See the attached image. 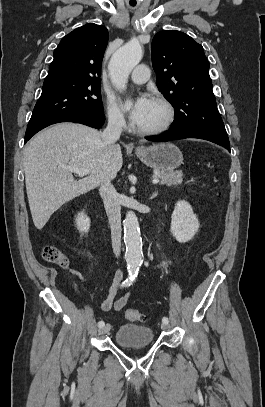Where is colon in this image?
Returning a JSON list of instances; mask_svg holds the SVG:
<instances>
[{
	"instance_id": "obj_1",
	"label": "colon",
	"mask_w": 265,
	"mask_h": 407,
	"mask_svg": "<svg viewBox=\"0 0 265 407\" xmlns=\"http://www.w3.org/2000/svg\"><path fill=\"white\" fill-rule=\"evenodd\" d=\"M42 257L48 263L66 268L69 265V260L65 253L58 247L47 245L42 249ZM126 319L129 321H145L146 317L136 309L126 311Z\"/></svg>"
}]
</instances>
